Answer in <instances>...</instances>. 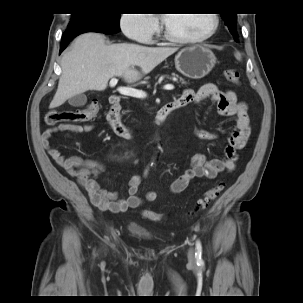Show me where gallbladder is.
<instances>
[{"mask_svg": "<svg viewBox=\"0 0 303 303\" xmlns=\"http://www.w3.org/2000/svg\"><path fill=\"white\" fill-rule=\"evenodd\" d=\"M69 104L73 107H81V106H84L87 102V97L85 94H78V95H75L73 97H71L69 100H68Z\"/></svg>", "mask_w": 303, "mask_h": 303, "instance_id": "1", "label": "gallbladder"}]
</instances>
